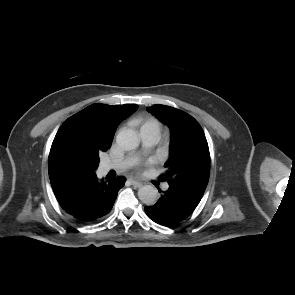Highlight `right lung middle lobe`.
I'll return each mask as SVG.
<instances>
[{
    "mask_svg": "<svg viewBox=\"0 0 295 295\" xmlns=\"http://www.w3.org/2000/svg\"><path fill=\"white\" fill-rule=\"evenodd\" d=\"M98 160H99V152L95 150L91 153V156L88 162L86 163V165L81 170H79L76 174L89 175L91 173H94L99 165Z\"/></svg>",
    "mask_w": 295,
    "mask_h": 295,
    "instance_id": "1",
    "label": "right lung middle lobe"
}]
</instances>
